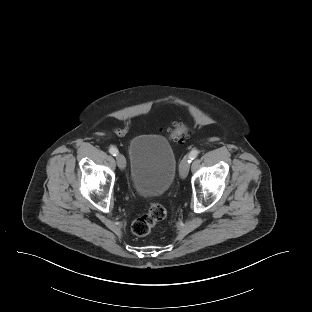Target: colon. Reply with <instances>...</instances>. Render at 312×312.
Listing matches in <instances>:
<instances>
[{
	"instance_id": "1",
	"label": "colon",
	"mask_w": 312,
	"mask_h": 312,
	"mask_svg": "<svg viewBox=\"0 0 312 312\" xmlns=\"http://www.w3.org/2000/svg\"><path fill=\"white\" fill-rule=\"evenodd\" d=\"M188 130L189 128L187 125H174L169 131V137L175 141L179 140ZM165 216V208L160 203L152 202L149 205L148 211L133 222L132 232L137 236H146L153 226L163 220Z\"/></svg>"
}]
</instances>
